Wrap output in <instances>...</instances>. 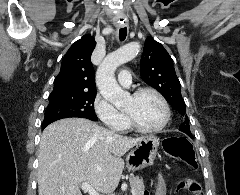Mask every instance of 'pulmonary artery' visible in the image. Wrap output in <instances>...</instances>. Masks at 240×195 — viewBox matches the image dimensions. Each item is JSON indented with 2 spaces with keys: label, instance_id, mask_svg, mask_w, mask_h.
<instances>
[{
  "label": "pulmonary artery",
  "instance_id": "obj_1",
  "mask_svg": "<svg viewBox=\"0 0 240 195\" xmlns=\"http://www.w3.org/2000/svg\"><path fill=\"white\" fill-rule=\"evenodd\" d=\"M118 81L124 87H129L132 83V78L130 76L129 71H121L120 76L118 77Z\"/></svg>",
  "mask_w": 240,
  "mask_h": 195
}]
</instances>
